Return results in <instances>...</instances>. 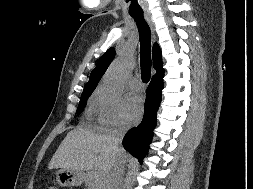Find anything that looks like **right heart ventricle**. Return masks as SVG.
Here are the masks:
<instances>
[{"instance_id": "right-heart-ventricle-1", "label": "right heart ventricle", "mask_w": 253, "mask_h": 189, "mask_svg": "<svg viewBox=\"0 0 253 189\" xmlns=\"http://www.w3.org/2000/svg\"><path fill=\"white\" fill-rule=\"evenodd\" d=\"M92 103H93V105H94V97H93V99H92Z\"/></svg>"}]
</instances>
